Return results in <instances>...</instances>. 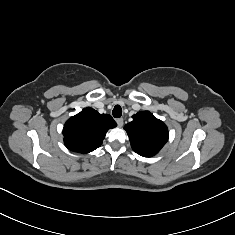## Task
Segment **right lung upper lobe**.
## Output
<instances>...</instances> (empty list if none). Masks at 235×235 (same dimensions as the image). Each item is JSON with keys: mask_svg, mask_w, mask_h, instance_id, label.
Segmentation results:
<instances>
[{"mask_svg": "<svg viewBox=\"0 0 235 235\" xmlns=\"http://www.w3.org/2000/svg\"><path fill=\"white\" fill-rule=\"evenodd\" d=\"M116 126L110 115L99 114L88 107L65 123L64 143L71 151L89 153L100 147L106 132Z\"/></svg>", "mask_w": 235, "mask_h": 235, "instance_id": "obj_1", "label": "right lung upper lobe"}]
</instances>
